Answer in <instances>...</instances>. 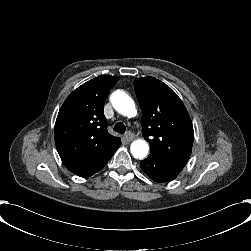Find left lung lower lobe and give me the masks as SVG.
<instances>
[{
    "instance_id": "left-lung-lower-lobe-1",
    "label": "left lung lower lobe",
    "mask_w": 251,
    "mask_h": 251,
    "mask_svg": "<svg viewBox=\"0 0 251 251\" xmlns=\"http://www.w3.org/2000/svg\"><path fill=\"white\" fill-rule=\"evenodd\" d=\"M140 167L152 180L159 183L175 179L183 169L151 155L141 161Z\"/></svg>"
}]
</instances>
